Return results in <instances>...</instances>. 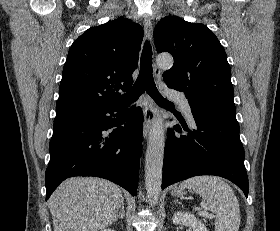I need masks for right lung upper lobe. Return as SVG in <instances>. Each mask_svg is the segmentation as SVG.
Segmentation results:
<instances>
[{
    "label": "right lung upper lobe",
    "mask_w": 280,
    "mask_h": 231,
    "mask_svg": "<svg viewBox=\"0 0 280 231\" xmlns=\"http://www.w3.org/2000/svg\"><path fill=\"white\" fill-rule=\"evenodd\" d=\"M142 38V27L124 17L86 30L68 52L54 121L123 104L115 90L133 84Z\"/></svg>",
    "instance_id": "obj_1"
}]
</instances>
